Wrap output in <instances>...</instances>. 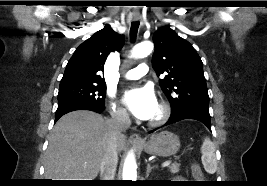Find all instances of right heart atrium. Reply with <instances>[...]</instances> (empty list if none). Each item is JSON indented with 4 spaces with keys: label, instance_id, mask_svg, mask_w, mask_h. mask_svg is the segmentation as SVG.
I'll use <instances>...</instances> for the list:
<instances>
[{
    "label": "right heart atrium",
    "instance_id": "right-heart-atrium-1",
    "mask_svg": "<svg viewBox=\"0 0 267 186\" xmlns=\"http://www.w3.org/2000/svg\"><path fill=\"white\" fill-rule=\"evenodd\" d=\"M109 106L111 117L119 123H127L129 116L126 111L120 107L114 100L113 96L109 97Z\"/></svg>",
    "mask_w": 267,
    "mask_h": 186
}]
</instances>
